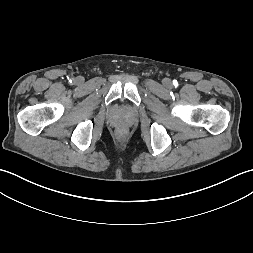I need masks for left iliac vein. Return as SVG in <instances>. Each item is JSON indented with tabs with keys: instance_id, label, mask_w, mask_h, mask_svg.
Wrapping results in <instances>:
<instances>
[{
	"instance_id": "4c4485c4",
	"label": "left iliac vein",
	"mask_w": 253,
	"mask_h": 253,
	"mask_svg": "<svg viewBox=\"0 0 253 253\" xmlns=\"http://www.w3.org/2000/svg\"><path fill=\"white\" fill-rule=\"evenodd\" d=\"M164 85L166 87H170L171 86V81L169 79H164Z\"/></svg>"
}]
</instances>
